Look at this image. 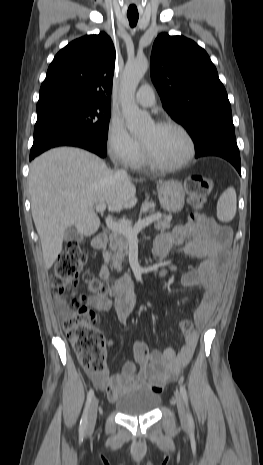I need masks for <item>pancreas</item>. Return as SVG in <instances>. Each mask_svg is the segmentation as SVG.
<instances>
[{
	"mask_svg": "<svg viewBox=\"0 0 263 465\" xmlns=\"http://www.w3.org/2000/svg\"><path fill=\"white\" fill-rule=\"evenodd\" d=\"M171 217L166 216L163 218L156 219L154 227L159 231H165L169 229L171 224ZM132 227L131 225H129ZM109 249L110 251H104L103 257L105 262H110L111 267L117 271L122 270V263L125 257L128 255L129 248V238L120 234L113 232L109 237Z\"/></svg>",
	"mask_w": 263,
	"mask_h": 465,
	"instance_id": "obj_1",
	"label": "pancreas"
}]
</instances>
